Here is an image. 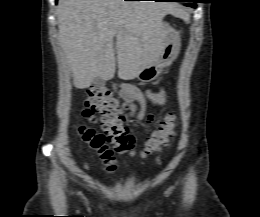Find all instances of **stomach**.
Listing matches in <instances>:
<instances>
[{
	"mask_svg": "<svg viewBox=\"0 0 260 217\" xmlns=\"http://www.w3.org/2000/svg\"><path fill=\"white\" fill-rule=\"evenodd\" d=\"M163 29L166 35L158 53V61L145 66L137 75V78L142 82H150L156 79L162 69L169 66L179 53L178 36L176 32L164 23Z\"/></svg>",
	"mask_w": 260,
	"mask_h": 217,
	"instance_id": "1",
	"label": "stomach"
}]
</instances>
